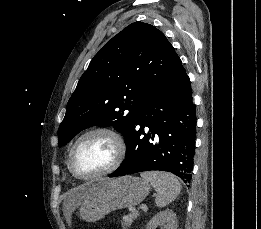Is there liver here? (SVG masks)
<instances>
[{"label": "liver", "mask_w": 261, "mask_h": 229, "mask_svg": "<svg viewBox=\"0 0 261 229\" xmlns=\"http://www.w3.org/2000/svg\"><path fill=\"white\" fill-rule=\"evenodd\" d=\"M70 203L73 209L75 207H78V205H81V201H85V199H88L89 195H91L90 189H86L84 185H81V187H78V189H73V191H70Z\"/></svg>", "instance_id": "liver-1"}]
</instances>
